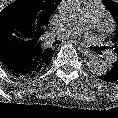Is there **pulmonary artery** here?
<instances>
[{
    "instance_id": "e3ab8cb5",
    "label": "pulmonary artery",
    "mask_w": 118,
    "mask_h": 118,
    "mask_svg": "<svg viewBox=\"0 0 118 118\" xmlns=\"http://www.w3.org/2000/svg\"><path fill=\"white\" fill-rule=\"evenodd\" d=\"M104 15V7L99 0H92L88 2L83 10L82 15L78 20L67 24L64 27L66 37H75L82 33L84 30L96 25ZM115 54L110 53L108 56L109 61L115 60Z\"/></svg>"
}]
</instances>
